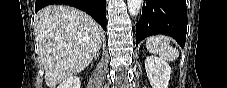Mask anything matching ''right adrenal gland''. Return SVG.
Wrapping results in <instances>:
<instances>
[{
  "instance_id": "right-adrenal-gland-1",
  "label": "right adrenal gland",
  "mask_w": 227,
  "mask_h": 88,
  "mask_svg": "<svg viewBox=\"0 0 227 88\" xmlns=\"http://www.w3.org/2000/svg\"><path fill=\"white\" fill-rule=\"evenodd\" d=\"M97 58H99V53H97V54L95 55V59H97Z\"/></svg>"
}]
</instances>
